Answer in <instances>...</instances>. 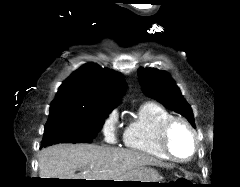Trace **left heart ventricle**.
I'll return each mask as SVG.
<instances>
[{
    "mask_svg": "<svg viewBox=\"0 0 240 187\" xmlns=\"http://www.w3.org/2000/svg\"><path fill=\"white\" fill-rule=\"evenodd\" d=\"M171 148L179 157H187L192 152V141L187 130L181 126L176 127L171 135Z\"/></svg>",
    "mask_w": 240,
    "mask_h": 187,
    "instance_id": "obj_1",
    "label": "left heart ventricle"
}]
</instances>
